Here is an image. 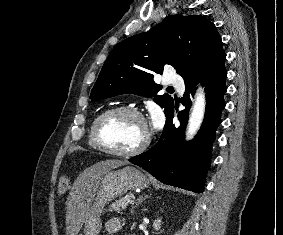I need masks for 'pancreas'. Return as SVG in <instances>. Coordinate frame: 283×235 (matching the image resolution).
<instances>
[{
    "mask_svg": "<svg viewBox=\"0 0 283 235\" xmlns=\"http://www.w3.org/2000/svg\"><path fill=\"white\" fill-rule=\"evenodd\" d=\"M134 199V195L132 193L127 194L126 196L119 198L113 202L109 208V211H117L120 212L128 206Z\"/></svg>",
    "mask_w": 283,
    "mask_h": 235,
    "instance_id": "1",
    "label": "pancreas"
}]
</instances>
